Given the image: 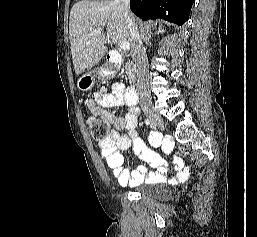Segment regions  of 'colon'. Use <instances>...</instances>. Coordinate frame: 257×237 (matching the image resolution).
<instances>
[{
  "instance_id": "1",
  "label": "colon",
  "mask_w": 257,
  "mask_h": 237,
  "mask_svg": "<svg viewBox=\"0 0 257 237\" xmlns=\"http://www.w3.org/2000/svg\"><path fill=\"white\" fill-rule=\"evenodd\" d=\"M90 133L95 140L105 141L109 136V124L100 118H90L88 121Z\"/></svg>"
}]
</instances>
